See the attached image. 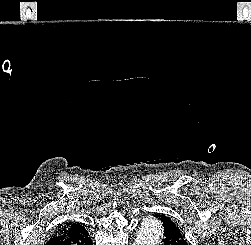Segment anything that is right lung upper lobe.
I'll list each match as a JSON object with an SVG mask.
<instances>
[{
	"instance_id": "cb5924a9",
	"label": "right lung upper lobe",
	"mask_w": 251,
	"mask_h": 245,
	"mask_svg": "<svg viewBox=\"0 0 251 245\" xmlns=\"http://www.w3.org/2000/svg\"><path fill=\"white\" fill-rule=\"evenodd\" d=\"M82 228H84V226H82L80 223H65V225L60 227L57 232L63 233L68 230L76 231Z\"/></svg>"
}]
</instances>
